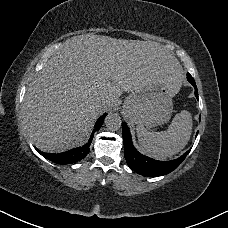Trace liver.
<instances>
[{
	"instance_id": "1",
	"label": "liver",
	"mask_w": 228,
	"mask_h": 228,
	"mask_svg": "<svg viewBox=\"0 0 228 228\" xmlns=\"http://www.w3.org/2000/svg\"><path fill=\"white\" fill-rule=\"evenodd\" d=\"M184 79L179 61L160 44L73 37L29 84L23 100L27 135L41 151H66L84 142L94 119L114 107L122 92H138L158 81L175 95Z\"/></svg>"
}]
</instances>
